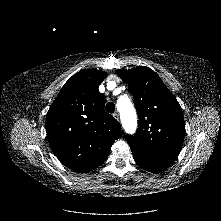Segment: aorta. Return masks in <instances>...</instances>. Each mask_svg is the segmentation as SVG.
Listing matches in <instances>:
<instances>
[{"label":"aorta","instance_id":"762f6f07","mask_svg":"<svg viewBox=\"0 0 221 221\" xmlns=\"http://www.w3.org/2000/svg\"><path fill=\"white\" fill-rule=\"evenodd\" d=\"M117 109L120 111L122 125L125 131L133 134L137 128V115L133 104L127 97H121L117 101Z\"/></svg>","mask_w":221,"mask_h":221}]
</instances>
